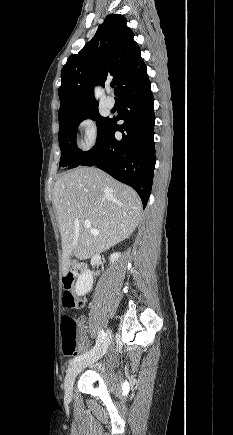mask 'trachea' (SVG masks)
<instances>
[{"instance_id": "trachea-1", "label": "trachea", "mask_w": 233, "mask_h": 435, "mask_svg": "<svg viewBox=\"0 0 233 435\" xmlns=\"http://www.w3.org/2000/svg\"><path fill=\"white\" fill-rule=\"evenodd\" d=\"M110 85H111V87H112V88H114V86H115V83H114V82H111V84H110Z\"/></svg>"}]
</instances>
